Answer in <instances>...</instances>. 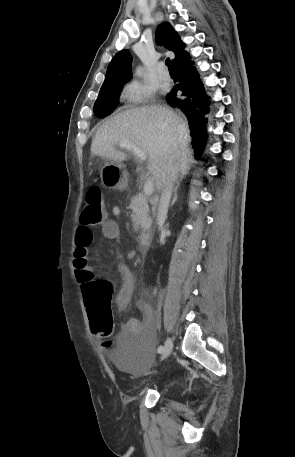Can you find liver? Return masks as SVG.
I'll list each match as a JSON object with an SVG mask.
<instances>
[{
  "label": "liver",
  "instance_id": "1",
  "mask_svg": "<svg viewBox=\"0 0 295 457\" xmlns=\"http://www.w3.org/2000/svg\"><path fill=\"white\" fill-rule=\"evenodd\" d=\"M129 141L148 155L147 169L157 190L172 164L183 176L193 163L187 122L167 107L152 105L132 108L107 120L98 129L91 153L106 160L122 162L127 155L115 148Z\"/></svg>",
  "mask_w": 295,
  "mask_h": 457
}]
</instances>
